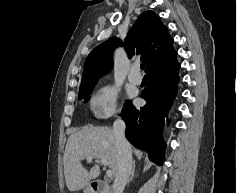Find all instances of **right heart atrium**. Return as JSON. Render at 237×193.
<instances>
[{
	"label": "right heart atrium",
	"instance_id": "1",
	"mask_svg": "<svg viewBox=\"0 0 237 193\" xmlns=\"http://www.w3.org/2000/svg\"><path fill=\"white\" fill-rule=\"evenodd\" d=\"M118 91L115 87L105 85L98 89L90 101L91 109L98 118L111 117L118 112Z\"/></svg>",
	"mask_w": 237,
	"mask_h": 193
}]
</instances>
